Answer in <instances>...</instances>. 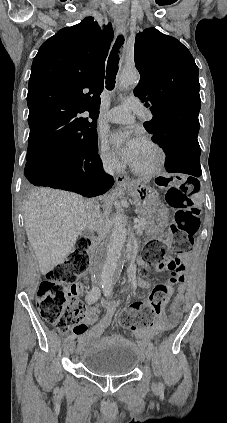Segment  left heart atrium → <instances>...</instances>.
<instances>
[{"label":"left heart atrium","mask_w":227,"mask_h":423,"mask_svg":"<svg viewBox=\"0 0 227 423\" xmlns=\"http://www.w3.org/2000/svg\"><path fill=\"white\" fill-rule=\"evenodd\" d=\"M123 137V132H116L113 134L112 140L114 142L120 141L123 139ZM144 144V141L140 137H134L133 139L129 140L121 152V155L125 162L130 165H134L137 159L138 152Z\"/></svg>","instance_id":"obj_1"}]
</instances>
